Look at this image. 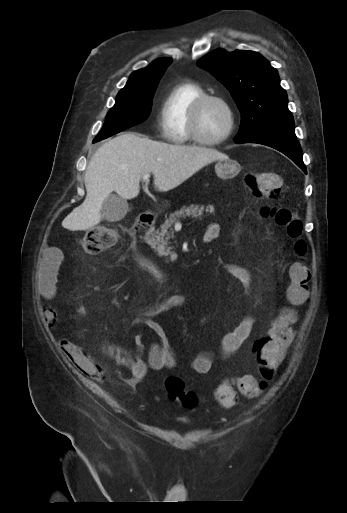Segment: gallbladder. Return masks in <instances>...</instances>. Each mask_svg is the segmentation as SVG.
<instances>
[{
	"instance_id": "bac80fb5",
	"label": "gallbladder",
	"mask_w": 347,
	"mask_h": 513,
	"mask_svg": "<svg viewBox=\"0 0 347 513\" xmlns=\"http://www.w3.org/2000/svg\"><path fill=\"white\" fill-rule=\"evenodd\" d=\"M129 211L127 201L116 194H110L102 204L101 216L110 222L122 220Z\"/></svg>"
}]
</instances>
